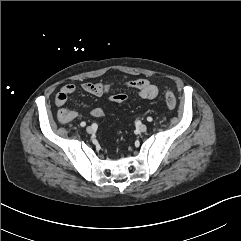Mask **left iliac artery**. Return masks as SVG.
Instances as JSON below:
<instances>
[{"mask_svg":"<svg viewBox=\"0 0 241 241\" xmlns=\"http://www.w3.org/2000/svg\"><path fill=\"white\" fill-rule=\"evenodd\" d=\"M147 121H148V122H152V121H153V118H152V117H147Z\"/></svg>","mask_w":241,"mask_h":241,"instance_id":"obj_1","label":"left iliac artery"}]
</instances>
